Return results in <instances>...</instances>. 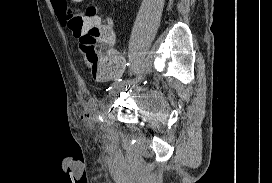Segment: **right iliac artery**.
Wrapping results in <instances>:
<instances>
[{
    "label": "right iliac artery",
    "mask_w": 272,
    "mask_h": 183,
    "mask_svg": "<svg viewBox=\"0 0 272 183\" xmlns=\"http://www.w3.org/2000/svg\"><path fill=\"white\" fill-rule=\"evenodd\" d=\"M126 81H122L121 79H117L114 83H113V87L116 88L119 85H121L122 83H125Z\"/></svg>",
    "instance_id": "82829eb1"
}]
</instances>
